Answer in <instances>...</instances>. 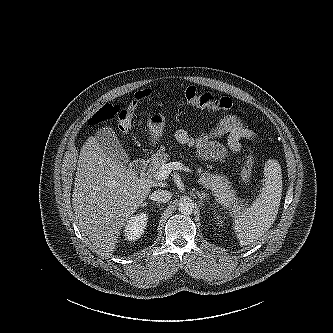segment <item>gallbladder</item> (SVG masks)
Returning <instances> with one entry per match:
<instances>
[{"mask_svg": "<svg viewBox=\"0 0 333 333\" xmlns=\"http://www.w3.org/2000/svg\"><path fill=\"white\" fill-rule=\"evenodd\" d=\"M96 140L102 150L122 165H130V158L123 149L116 133L110 127H103L96 133Z\"/></svg>", "mask_w": 333, "mask_h": 333, "instance_id": "1", "label": "gallbladder"}]
</instances>
